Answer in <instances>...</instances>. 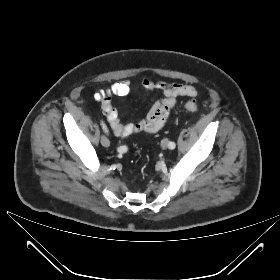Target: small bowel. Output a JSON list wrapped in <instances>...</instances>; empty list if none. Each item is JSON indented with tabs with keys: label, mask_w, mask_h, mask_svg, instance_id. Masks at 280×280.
Segmentation results:
<instances>
[{
	"label": "small bowel",
	"mask_w": 280,
	"mask_h": 280,
	"mask_svg": "<svg viewBox=\"0 0 280 280\" xmlns=\"http://www.w3.org/2000/svg\"><path fill=\"white\" fill-rule=\"evenodd\" d=\"M142 86L147 91L158 89L163 98L154 102L146 117L135 123H124L120 119L117 108L112 103L113 96H126L131 92L129 80H121L110 88L100 90L94 94V98L101 104L113 133L121 138L129 137L140 132L156 133L163 128L167 122L171 110L176 106L177 99L182 96L195 97L198 92L192 85L186 83H167L165 81H154L149 77L142 80Z\"/></svg>",
	"instance_id": "obj_1"
}]
</instances>
